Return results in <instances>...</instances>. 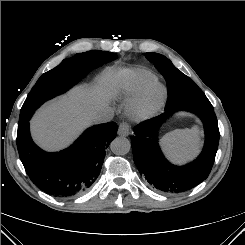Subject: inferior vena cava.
<instances>
[{
	"instance_id": "602c4592",
	"label": "inferior vena cava",
	"mask_w": 245,
	"mask_h": 245,
	"mask_svg": "<svg viewBox=\"0 0 245 245\" xmlns=\"http://www.w3.org/2000/svg\"><path fill=\"white\" fill-rule=\"evenodd\" d=\"M110 118L111 117L107 112H101L94 118V122L95 123H105V122H108Z\"/></svg>"
}]
</instances>
